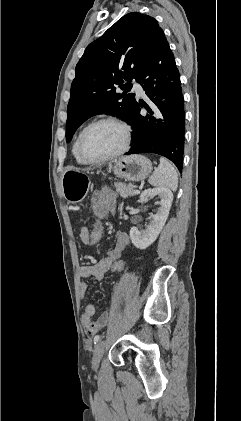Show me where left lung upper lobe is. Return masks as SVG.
<instances>
[{"mask_svg":"<svg viewBox=\"0 0 241 421\" xmlns=\"http://www.w3.org/2000/svg\"><path fill=\"white\" fill-rule=\"evenodd\" d=\"M162 29L151 16L132 12L120 18L100 38L90 43L75 69L67 106L66 141L96 114H109L129 122L136 105L132 79L148 57ZM116 85L124 90L116 91Z\"/></svg>","mask_w":241,"mask_h":421,"instance_id":"1","label":"left lung upper lobe"}]
</instances>
